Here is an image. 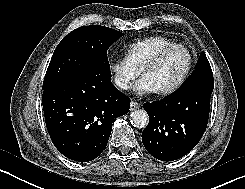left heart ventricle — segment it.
Segmentation results:
<instances>
[{"label":"left heart ventricle","mask_w":245,"mask_h":189,"mask_svg":"<svg viewBox=\"0 0 245 189\" xmlns=\"http://www.w3.org/2000/svg\"><path fill=\"white\" fill-rule=\"evenodd\" d=\"M188 65V55L183 49H174L166 54L163 60L143 77L160 91L174 84L184 73Z\"/></svg>","instance_id":"1"}]
</instances>
